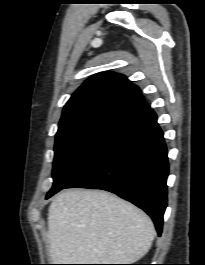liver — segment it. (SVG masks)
Masks as SVG:
<instances>
[{
    "label": "liver",
    "mask_w": 205,
    "mask_h": 265,
    "mask_svg": "<svg viewBox=\"0 0 205 265\" xmlns=\"http://www.w3.org/2000/svg\"><path fill=\"white\" fill-rule=\"evenodd\" d=\"M151 219L107 192L68 190L48 210L49 254L54 264H133L152 246Z\"/></svg>",
    "instance_id": "liver-1"
}]
</instances>
